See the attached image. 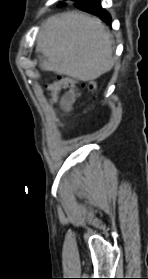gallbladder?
I'll return each mask as SVG.
<instances>
[{
	"label": "gallbladder",
	"mask_w": 148,
	"mask_h": 279,
	"mask_svg": "<svg viewBox=\"0 0 148 279\" xmlns=\"http://www.w3.org/2000/svg\"><path fill=\"white\" fill-rule=\"evenodd\" d=\"M37 58H38V61H39V66L41 68H43L44 63L46 62L45 56L41 52H38L37 53Z\"/></svg>",
	"instance_id": "gallbladder-1"
}]
</instances>
